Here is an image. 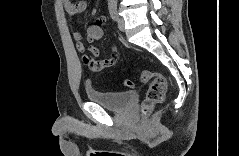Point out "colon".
<instances>
[{"label":"colon","mask_w":239,"mask_h":156,"mask_svg":"<svg viewBox=\"0 0 239 156\" xmlns=\"http://www.w3.org/2000/svg\"><path fill=\"white\" fill-rule=\"evenodd\" d=\"M139 78L143 83L150 82L145 100L142 104V111L148 113L154 105L159 104L164 100L167 81L162 74L151 72L149 70H142ZM122 85L126 88H132L134 82L132 80H126Z\"/></svg>","instance_id":"obj_1"}]
</instances>
